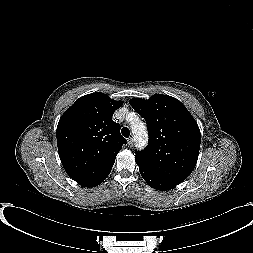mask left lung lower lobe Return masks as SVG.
<instances>
[{"label":"left lung lower lobe","mask_w":253,"mask_h":253,"mask_svg":"<svg viewBox=\"0 0 253 253\" xmlns=\"http://www.w3.org/2000/svg\"><path fill=\"white\" fill-rule=\"evenodd\" d=\"M140 173L142 175V177L144 178V180L154 189L157 190H161V191H165V190H169L174 188L176 185L166 182L162 179H159L149 173H147L146 171L140 169Z\"/></svg>","instance_id":"obj_1"}]
</instances>
